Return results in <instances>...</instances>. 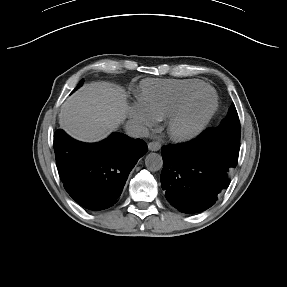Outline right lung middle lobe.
<instances>
[{
	"label": "right lung middle lobe",
	"mask_w": 287,
	"mask_h": 287,
	"mask_svg": "<svg viewBox=\"0 0 287 287\" xmlns=\"http://www.w3.org/2000/svg\"><path fill=\"white\" fill-rule=\"evenodd\" d=\"M83 80H81L80 82H79V84L77 85V88H79V87H81L82 85H83ZM76 90V89H75Z\"/></svg>",
	"instance_id": "1"
}]
</instances>
